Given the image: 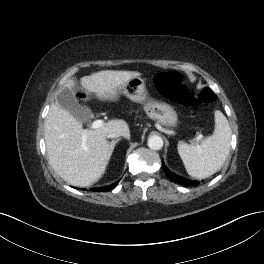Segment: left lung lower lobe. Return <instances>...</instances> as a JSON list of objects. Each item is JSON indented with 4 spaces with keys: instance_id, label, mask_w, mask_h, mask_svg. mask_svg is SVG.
Masks as SVG:
<instances>
[{
    "instance_id": "left-lung-lower-lobe-1",
    "label": "left lung lower lobe",
    "mask_w": 264,
    "mask_h": 264,
    "mask_svg": "<svg viewBox=\"0 0 264 264\" xmlns=\"http://www.w3.org/2000/svg\"><path fill=\"white\" fill-rule=\"evenodd\" d=\"M163 164V169L166 173V175L173 181V182H176L178 184H181V185H185V186H192V185H196L197 181H192V180H188L184 177H181V176H178L176 174H174L173 172H171L169 169H167V167L165 166L164 164V161L162 162Z\"/></svg>"
}]
</instances>
